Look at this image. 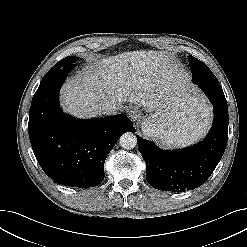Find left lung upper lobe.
<instances>
[{"instance_id": "5c2ea615", "label": "left lung upper lobe", "mask_w": 247, "mask_h": 247, "mask_svg": "<svg viewBox=\"0 0 247 247\" xmlns=\"http://www.w3.org/2000/svg\"><path fill=\"white\" fill-rule=\"evenodd\" d=\"M189 64H190V69L193 70L196 66L200 65L202 62L199 61L198 59L194 58L193 56H189Z\"/></svg>"}]
</instances>
